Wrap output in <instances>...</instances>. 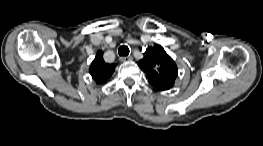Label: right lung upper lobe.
<instances>
[{"label":"right lung upper lobe","mask_w":263,"mask_h":146,"mask_svg":"<svg viewBox=\"0 0 263 146\" xmlns=\"http://www.w3.org/2000/svg\"><path fill=\"white\" fill-rule=\"evenodd\" d=\"M115 67L116 64L105 63L102 51H98L95 59L92 61L89 72L95 82L101 84L111 77Z\"/></svg>","instance_id":"obj_1"}]
</instances>
